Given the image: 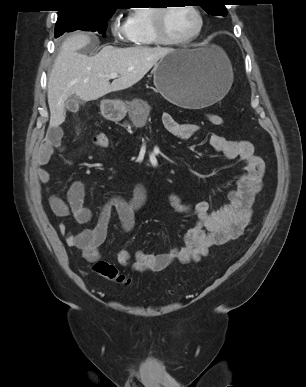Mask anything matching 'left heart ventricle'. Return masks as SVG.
<instances>
[{"label": "left heart ventricle", "instance_id": "b2bd125f", "mask_svg": "<svg viewBox=\"0 0 306 387\" xmlns=\"http://www.w3.org/2000/svg\"><path fill=\"white\" fill-rule=\"evenodd\" d=\"M166 34L173 39H183L194 32L197 17L187 6L170 7L164 19Z\"/></svg>", "mask_w": 306, "mask_h": 387}]
</instances>
